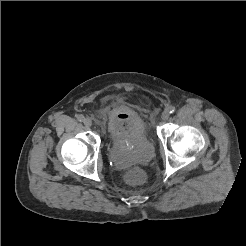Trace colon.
<instances>
[{
    "instance_id": "5ec220e1",
    "label": "colon",
    "mask_w": 246,
    "mask_h": 246,
    "mask_svg": "<svg viewBox=\"0 0 246 246\" xmlns=\"http://www.w3.org/2000/svg\"><path fill=\"white\" fill-rule=\"evenodd\" d=\"M125 178L129 184L137 185L144 182L145 174L140 169H132L126 174Z\"/></svg>"
}]
</instances>
